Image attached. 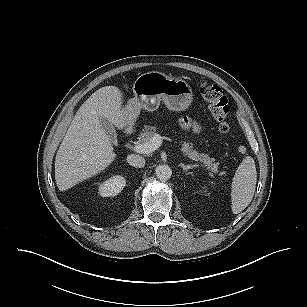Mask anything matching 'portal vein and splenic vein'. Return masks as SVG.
<instances>
[{
  "label": "portal vein and splenic vein",
  "mask_w": 307,
  "mask_h": 307,
  "mask_svg": "<svg viewBox=\"0 0 307 307\" xmlns=\"http://www.w3.org/2000/svg\"><path fill=\"white\" fill-rule=\"evenodd\" d=\"M162 141L163 137H161V135L158 133H155L149 142L144 144H135L133 150L141 154H150L161 146Z\"/></svg>",
  "instance_id": "obj_1"
}]
</instances>
